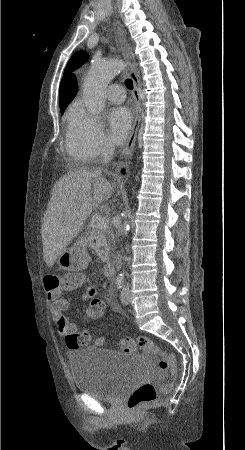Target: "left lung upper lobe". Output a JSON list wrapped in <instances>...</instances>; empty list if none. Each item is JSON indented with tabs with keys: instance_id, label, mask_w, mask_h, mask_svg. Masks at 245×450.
I'll return each mask as SVG.
<instances>
[{
	"instance_id": "1",
	"label": "left lung upper lobe",
	"mask_w": 245,
	"mask_h": 450,
	"mask_svg": "<svg viewBox=\"0 0 245 450\" xmlns=\"http://www.w3.org/2000/svg\"><path fill=\"white\" fill-rule=\"evenodd\" d=\"M88 59V54L83 52V51H79L77 53H75L72 58L70 59V61L68 62L66 69H65V73L75 70L76 68L80 67L82 64H84L86 62V60Z\"/></svg>"
}]
</instances>
